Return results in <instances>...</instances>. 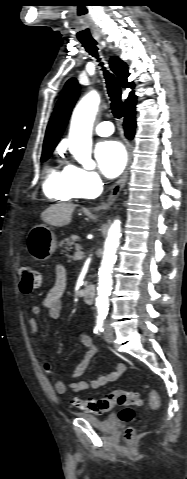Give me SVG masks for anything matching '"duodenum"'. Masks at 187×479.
I'll use <instances>...</instances> for the list:
<instances>
[{
	"instance_id": "410a0bca",
	"label": "duodenum",
	"mask_w": 187,
	"mask_h": 479,
	"mask_svg": "<svg viewBox=\"0 0 187 479\" xmlns=\"http://www.w3.org/2000/svg\"><path fill=\"white\" fill-rule=\"evenodd\" d=\"M81 296L84 302L91 304L96 297V288L92 285H86L81 291Z\"/></svg>"
}]
</instances>
